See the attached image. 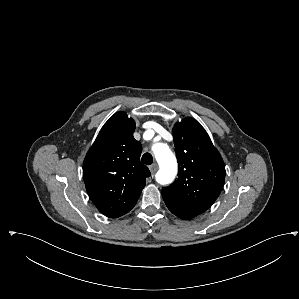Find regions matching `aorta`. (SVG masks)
<instances>
[{
    "label": "aorta",
    "mask_w": 299,
    "mask_h": 299,
    "mask_svg": "<svg viewBox=\"0 0 299 299\" xmlns=\"http://www.w3.org/2000/svg\"><path fill=\"white\" fill-rule=\"evenodd\" d=\"M155 158L159 164L156 181L162 185L171 183L177 174V161L170 148L163 143L153 147Z\"/></svg>",
    "instance_id": "aorta-1"
}]
</instances>
